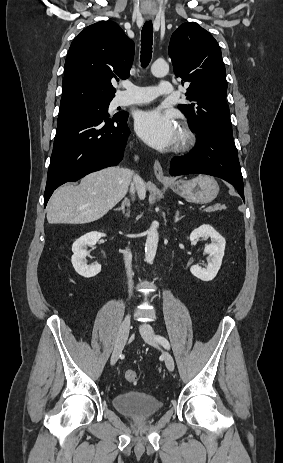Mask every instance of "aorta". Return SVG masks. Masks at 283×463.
Listing matches in <instances>:
<instances>
[{"instance_id":"aorta-1","label":"aorta","mask_w":283,"mask_h":463,"mask_svg":"<svg viewBox=\"0 0 283 463\" xmlns=\"http://www.w3.org/2000/svg\"><path fill=\"white\" fill-rule=\"evenodd\" d=\"M151 72L155 77H164L169 72V65L165 61H155L151 66ZM158 223L153 222L147 232L145 245V260L152 264L156 255L159 236L157 232Z\"/></svg>"}]
</instances>
